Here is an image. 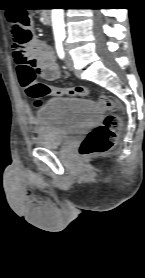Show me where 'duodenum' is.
<instances>
[{
  "mask_svg": "<svg viewBox=\"0 0 145 278\" xmlns=\"http://www.w3.org/2000/svg\"><path fill=\"white\" fill-rule=\"evenodd\" d=\"M44 22L47 24L51 23V12L47 11L46 14L44 15Z\"/></svg>",
  "mask_w": 145,
  "mask_h": 278,
  "instance_id": "1",
  "label": "duodenum"
}]
</instances>
